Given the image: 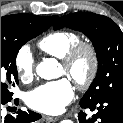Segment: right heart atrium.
<instances>
[{"instance_id": "d8ad5b80", "label": "right heart atrium", "mask_w": 123, "mask_h": 123, "mask_svg": "<svg viewBox=\"0 0 123 123\" xmlns=\"http://www.w3.org/2000/svg\"><path fill=\"white\" fill-rule=\"evenodd\" d=\"M14 66L21 81L30 82L33 79L35 72V60L28 47H21L17 51L14 58Z\"/></svg>"}]
</instances>
